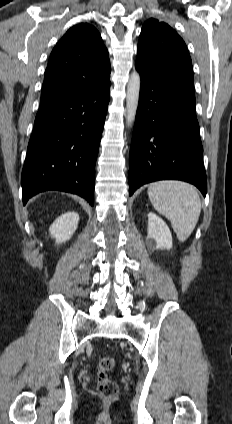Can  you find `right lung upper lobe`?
<instances>
[{"mask_svg":"<svg viewBox=\"0 0 232 424\" xmlns=\"http://www.w3.org/2000/svg\"><path fill=\"white\" fill-rule=\"evenodd\" d=\"M110 83V61L97 29L80 23L70 28L51 52L41 101L99 89Z\"/></svg>","mask_w":232,"mask_h":424,"instance_id":"cb5924a9","label":"right lung upper lobe"}]
</instances>
